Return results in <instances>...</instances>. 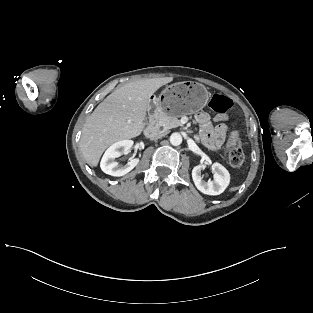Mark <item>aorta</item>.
<instances>
[{"label": "aorta", "mask_w": 313, "mask_h": 313, "mask_svg": "<svg viewBox=\"0 0 313 313\" xmlns=\"http://www.w3.org/2000/svg\"><path fill=\"white\" fill-rule=\"evenodd\" d=\"M170 143L173 145V146H178L182 143V136L181 134L175 132V133H172L171 136H170Z\"/></svg>", "instance_id": "aorta-1"}]
</instances>
